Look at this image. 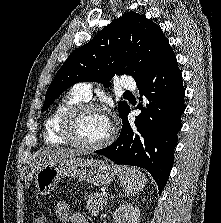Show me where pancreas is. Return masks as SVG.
Segmentation results:
<instances>
[{
	"instance_id": "cf45deb5",
	"label": "pancreas",
	"mask_w": 221,
	"mask_h": 223,
	"mask_svg": "<svg viewBox=\"0 0 221 223\" xmlns=\"http://www.w3.org/2000/svg\"><path fill=\"white\" fill-rule=\"evenodd\" d=\"M87 205L86 210L91 216H97L99 211L103 208V203L106 201V197L99 193H94L86 198Z\"/></svg>"
}]
</instances>
